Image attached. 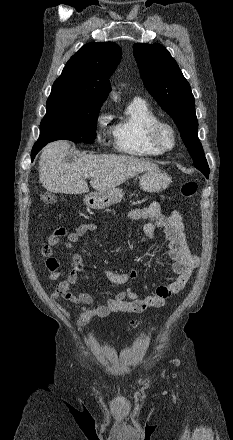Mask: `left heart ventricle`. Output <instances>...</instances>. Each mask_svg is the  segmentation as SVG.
Masks as SVG:
<instances>
[{"mask_svg": "<svg viewBox=\"0 0 233 440\" xmlns=\"http://www.w3.org/2000/svg\"><path fill=\"white\" fill-rule=\"evenodd\" d=\"M161 141L166 146H169L171 144V135L168 131L165 130L161 133Z\"/></svg>", "mask_w": 233, "mask_h": 440, "instance_id": "1", "label": "left heart ventricle"}]
</instances>
